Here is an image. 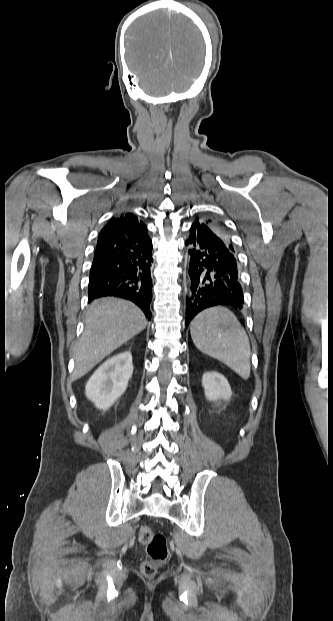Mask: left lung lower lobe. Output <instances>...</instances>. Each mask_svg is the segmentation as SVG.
Returning a JSON list of instances; mask_svg holds the SVG:
<instances>
[{
    "instance_id": "1",
    "label": "left lung lower lobe",
    "mask_w": 333,
    "mask_h": 621,
    "mask_svg": "<svg viewBox=\"0 0 333 621\" xmlns=\"http://www.w3.org/2000/svg\"><path fill=\"white\" fill-rule=\"evenodd\" d=\"M190 246L191 296L186 303V327L200 311L212 306L242 308L243 292L237 256L207 226L192 224L185 242Z\"/></svg>"
}]
</instances>
